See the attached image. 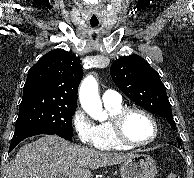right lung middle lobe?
Segmentation results:
<instances>
[{"label":"right lung middle lobe","instance_id":"1","mask_svg":"<svg viewBox=\"0 0 194 178\" xmlns=\"http://www.w3.org/2000/svg\"><path fill=\"white\" fill-rule=\"evenodd\" d=\"M77 104L53 98L22 100L15 131L41 128L56 134L73 136L72 116Z\"/></svg>","mask_w":194,"mask_h":178}]
</instances>
